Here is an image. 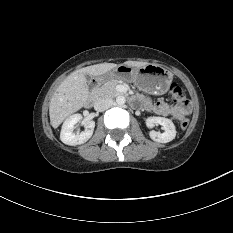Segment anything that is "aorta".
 Here are the masks:
<instances>
[{
  "label": "aorta",
  "mask_w": 233,
  "mask_h": 233,
  "mask_svg": "<svg viewBox=\"0 0 233 233\" xmlns=\"http://www.w3.org/2000/svg\"><path fill=\"white\" fill-rule=\"evenodd\" d=\"M125 102H126V99H125L124 96H118V97L116 98V103H117L118 105H124Z\"/></svg>",
  "instance_id": "aorta-1"
}]
</instances>
